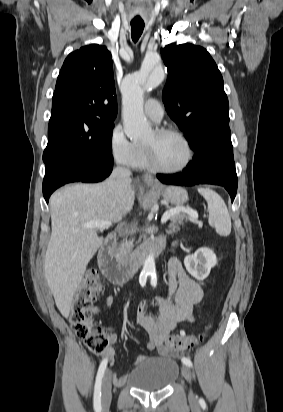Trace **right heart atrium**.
Wrapping results in <instances>:
<instances>
[{
	"label": "right heart atrium",
	"instance_id": "d8ad5b80",
	"mask_svg": "<svg viewBox=\"0 0 283 412\" xmlns=\"http://www.w3.org/2000/svg\"><path fill=\"white\" fill-rule=\"evenodd\" d=\"M109 150L113 160L122 166H132L137 156V145L127 138L121 125L110 132Z\"/></svg>",
	"mask_w": 283,
	"mask_h": 412
}]
</instances>
